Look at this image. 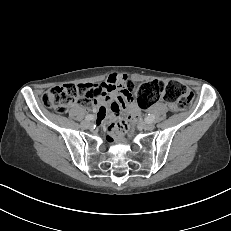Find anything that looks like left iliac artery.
I'll use <instances>...</instances> for the list:
<instances>
[{
	"mask_svg": "<svg viewBox=\"0 0 231 231\" xmlns=\"http://www.w3.org/2000/svg\"><path fill=\"white\" fill-rule=\"evenodd\" d=\"M146 120L148 122H153L154 121V116L152 114H148V116L146 117Z\"/></svg>",
	"mask_w": 231,
	"mask_h": 231,
	"instance_id": "44dca946",
	"label": "left iliac artery"
}]
</instances>
